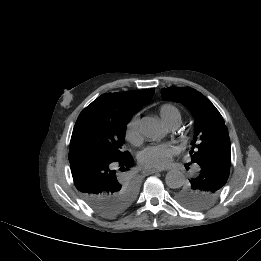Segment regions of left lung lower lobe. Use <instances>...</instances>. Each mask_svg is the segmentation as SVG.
Returning <instances> with one entry per match:
<instances>
[{
    "mask_svg": "<svg viewBox=\"0 0 261 261\" xmlns=\"http://www.w3.org/2000/svg\"><path fill=\"white\" fill-rule=\"evenodd\" d=\"M230 162L224 160L223 163L215 165L213 160L202 161L199 163V175L189 180L190 184L207 195L216 193L217 189L223 187L227 182L230 173Z\"/></svg>",
    "mask_w": 261,
    "mask_h": 261,
    "instance_id": "0a47b994",
    "label": "left lung lower lobe"
}]
</instances>
